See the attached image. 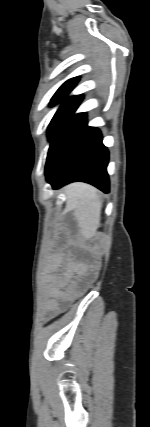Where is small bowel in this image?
I'll use <instances>...</instances> for the list:
<instances>
[{
	"label": "small bowel",
	"instance_id": "small-bowel-1",
	"mask_svg": "<svg viewBox=\"0 0 150 427\" xmlns=\"http://www.w3.org/2000/svg\"><path fill=\"white\" fill-rule=\"evenodd\" d=\"M68 274H48L46 277V315L51 317L63 310L67 303L73 299L79 291V285L65 288L69 283Z\"/></svg>",
	"mask_w": 150,
	"mask_h": 427
}]
</instances>
